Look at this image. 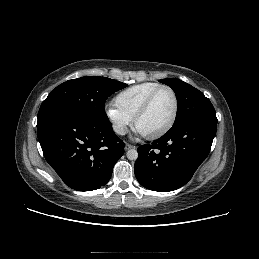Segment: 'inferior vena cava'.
Listing matches in <instances>:
<instances>
[{
    "instance_id": "obj_1",
    "label": "inferior vena cava",
    "mask_w": 259,
    "mask_h": 259,
    "mask_svg": "<svg viewBox=\"0 0 259 259\" xmlns=\"http://www.w3.org/2000/svg\"><path fill=\"white\" fill-rule=\"evenodd\" d=\"M113 129L117 134H120V135H125L126 133V130L122 125H114Z\"/></svg>"
}]
</instances>
